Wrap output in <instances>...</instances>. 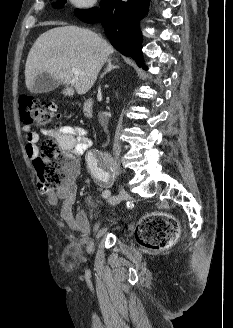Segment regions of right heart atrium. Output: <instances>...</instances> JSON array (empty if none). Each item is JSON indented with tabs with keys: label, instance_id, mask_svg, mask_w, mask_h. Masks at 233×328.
<instances>
[{
	"label": "right heart atrium",
	"instance_id": "right-heart-atrium-1",
	"mask_svg": "<svg viewBox=\"0 0 233 328\" xmlns=\"http://www.w3.org/2000/svg\"><path fill=\"white\" fill-rule=\"evenodd\" d=\"M98 0H70L71 4L78 9H91Z\"/></svg>",
	"mask_w": 233,
	"mask_h": 328
}]
</instances>
